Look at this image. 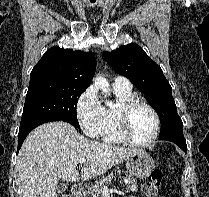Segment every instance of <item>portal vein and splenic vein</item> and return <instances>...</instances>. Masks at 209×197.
<instances>
[{
	"label": "portal vein and splenic vein",
	"instance_id": "1",
	"mask_svg": "<svg viewBox=\"0 0 209 197\" xmlns=\"http://www.w3.org/2000/svg\"><path fill=\"white\" fill-rule=\"evenodd\" d=\"M84 163H85V159H84V158H82V159L79 160V164H80L81 166H82ZM103 192H109L108 186H104Z\"/></svg>",
	"mask_w": 209,
	"mask_h": 197
}]
</instances>
